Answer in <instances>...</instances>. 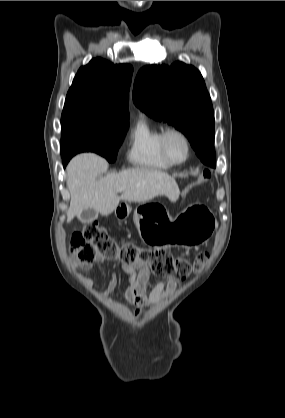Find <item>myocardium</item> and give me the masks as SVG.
<instances>
[{
	"label": "myocardium",
	"mask_w": 285,
	"mask_h": 418,
	"mask_svg": "<svg viewBox=\"0 0 285 418\" xmlns=\"http://www.w3.org/2000/svg\"><path fill=\"white\" fill-rule=\"evenodd\" d=\"M171 134L178 135L183 140V142L185 144V156H184V158L182 160H179V161L173 160L170 157V155H169V153L167 151L166 140H167L168 136L171 135ZM158 145H159V148H160L161 153L163 154L164 158L166 159V161L170 165H180V164H183L189 158L190 150H191L190 140H189L187 134L184 131H182L181 129H179V128L169 127V128L164 129L160 133V135H159Z\"/></svg>",
	"instance_id": "myocardium-1"
}]
</instances>
